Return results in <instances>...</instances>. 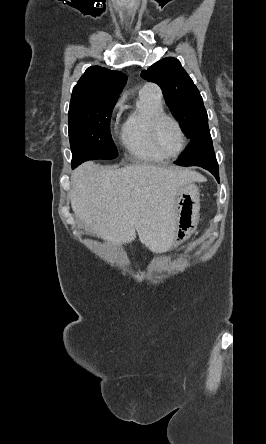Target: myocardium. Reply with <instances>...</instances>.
<instances>
[{
  "label": "myocardium",
  "instance_id": "myocardium-1",
  "mask_svg": "<svg viewBox=\"0 0 266 444\" xmlns=\"http://www.w3.org/2000/svg\"><path fill=\"white\" fill-rule=\"evenodd\" d=\"M164 120L172 121L175 124V126L177 127L178 132L180 134L181 145H180L179 150L175 154H166L165 152L162 151V149L158 143V139H157L158 128ZM150 138H151V142H152V145L155 148V150L165 157L166 156H178L181 153H183V151L185 150V148L187 146L186 134H185L179 120L177 118H175L174 116L164 113V112L157 114L156 116H154L152 118L151 123H150Z\"/></svg>",
  "mask_w": 266,
  "mask_h": 444
}]
</instances>
